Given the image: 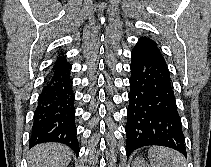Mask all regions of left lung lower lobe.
I'll return each instance as SVG.
<instances>
[{"mask_svg":"<svg viewBox=\"0 0 211 167\" xmlns=\"http://www.w3.org/2000/svg\"><path fill=\"white\" fill-rule=\"evenodd\" d=\"M127 109V157L136 149L159 145L186 156L181 118L166 65L149 49L134 47Z\"/></svg>","mask_w":211,"mask_h":167,"instance_id":"0a47b994","label":"left lung lower lobe"}]
</instances>
